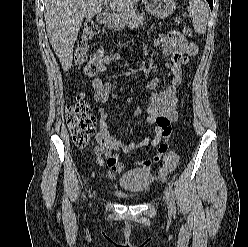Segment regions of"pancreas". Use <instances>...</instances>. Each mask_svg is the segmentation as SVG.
<instances>
[{"mask_svg":"<svg viewBox=\"0 0 248 247\" xmlns=\"http://www.w3.org/2000/svg\"><path fill=\"white\" fill-rule=\"evenodd\" d=\"M126 18V24L131 28H137L139 25H143L144 14L135 13L133 11L124 14Z\"/></svg>","mask_w":248,"mask_h":247,"instance_id":"pancreas-1","label":"pancreas"}]
</instances>
